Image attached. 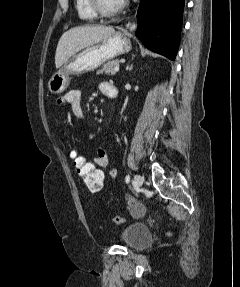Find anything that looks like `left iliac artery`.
<instances>
[{
	"instance_id": "44dca946",
	"label": "left iliac artery",
	"mask_w": 240,
	"mask_h": 287,
	"mask_svg": "<svg viewBox=\"0 0 240 287\" xmlns=\"http://www.w3.org/2000/svg\"><path fill=\"white\" fill-rule=\"evenodd\" d=\"M125 180H126V183H128V182L130 181V176L127 175L126 178H125Z\"/></svg>"
}]
</instances>
